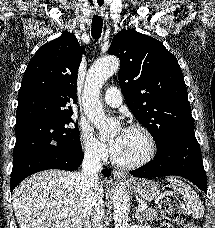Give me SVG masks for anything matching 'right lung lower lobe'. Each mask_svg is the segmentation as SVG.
<instances>
[{"instance_id": "1", "label": "right lung lower lobe", "mask_w": 215, "mask_h": 228, "mask_svg": "<svg viewBox=\"0 0 215 228\" xmlns=\"http://www.w3.org/2000/svg\"><path fill=\"white\" fill-rule=\"evenodd\" d=\"M84 154L81 150H71L59 147H39L13 158V168L10 189H13L29 175L47 170L61 169L73 171L78 169ZM104 176H110V170L102 171Z\"/></svg>"}]
</instances>
